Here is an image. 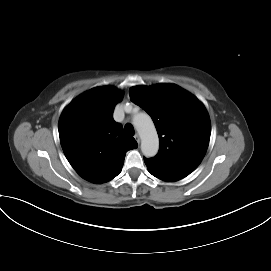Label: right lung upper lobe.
Masks as SVG:
<instances>
[{
  "label": "right lung upper lobe",
  "instance_id": "obj_1",
  "mask_svg": "<svg viewBox=\"0 0 271 271\" xmlns=\"http://www.w3.org/2000/svg\"><path fill=\"white\" fill-rule=\"evenodd\" d=\"M123 93L115 87H97L75 98L62 112L59 136L64 154L85 180L105 183L122 170L128 150L137 148L133 137L123 134L113 120Z\"/></svg>",
  "mask_w": 271,
  "mask_h": 271
}]
</instances>
